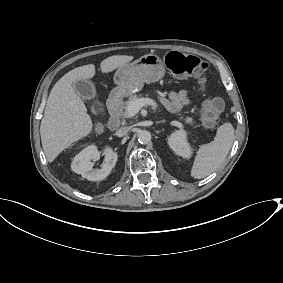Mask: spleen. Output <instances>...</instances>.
Segmentation results:
<instances>
[{"label":"spleen","mask_w":283,"mask_h":283,"mask_svg":"<svg viewBox=\"0 0 283 283\" xmlns=\"http://www.w3.org/2000/svg\"><path fill=\"white\" fill-rule=\"evenodd\" d=\"M235 138L231 123H224L217 129L214 140L201 145L197 151L191 176L201 179L216 171L224 162Z\"/></svg>","instance_id":"obj_1"}]
</instances>
